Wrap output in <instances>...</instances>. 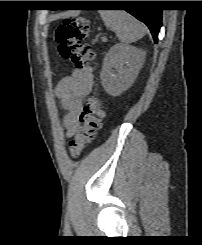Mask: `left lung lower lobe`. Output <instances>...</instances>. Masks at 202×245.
<instances>
[{
	"mask_svg": "<svg viewBox=\"0 0 202 245\" xmlns=\"http://www.w3.org/2000/svg\"><path fill=\"white\" fill-rule=\"evenodd\" d=\"M103 5H112L113 1H103ZM132 5L137 6H150L153 4L152 1H128ZM126 11L136 17L138 20L145 23L150 29L154 41L158 40V33L161 27L162 20V10L155 8H130Z\"/></svg>",
	"mask_w": 202,
	"mask_h": 245,
	"instance_id": "1",
	"label": "left lung lower lobe"
}]
</instances>
